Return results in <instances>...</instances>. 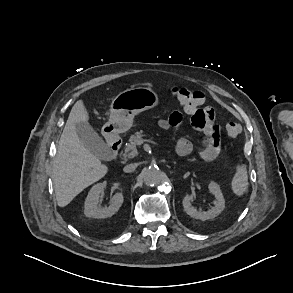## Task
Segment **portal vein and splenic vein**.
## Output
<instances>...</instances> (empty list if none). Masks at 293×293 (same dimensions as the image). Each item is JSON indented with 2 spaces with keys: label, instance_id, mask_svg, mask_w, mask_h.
Returning a JSON list of instances; mask_svg holds the SVG:
<instances>
[{
  "label": "portal vein and splenic vein",
  "instance_id": "1",
  "mask_svg": "<svg viewBox=\"0 0 293 293\" xmlns=\"http://www.w3.org/2000/svg\"><path fill=\"white\" fill-rule=\"evenodd\" d=\"M143 143V141L141 140L140 142H139V144H142Z\"/></svg>",
  "mask_w": 293,
  "mask_h": 293
}]
</instances>
